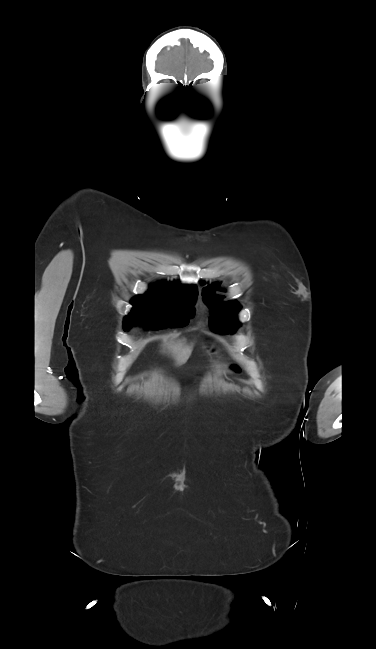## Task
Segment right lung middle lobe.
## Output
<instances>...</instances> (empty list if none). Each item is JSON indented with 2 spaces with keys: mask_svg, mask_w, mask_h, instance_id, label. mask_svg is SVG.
Returning <instances> with one entry per match:
<instances>
[{
  "mask_svg": "<svg viewBox=\"0 0 376 649\" xmlns=\"http://www.w3.org/2000/svg\"><path fill=\"white\" fill-rule=\"evenodd\" d=\"M197 294L196 286L167 282L151 285L148 292L132 299L133 309L124 319V330L136 324L152 329L184 327L194 317Z\"/></svg>",
  "mask_w": 376,
  "mask_h": 649,
  "instance_id": "dd1d6c3e",
  "label": "right lung middle lobe"
}]
</instances>
